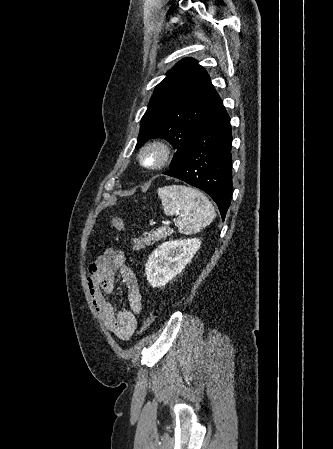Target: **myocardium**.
Masks as SVG:
<instances>
[{"label": "myocardium", "mask_w": 333, "mask_h": 449, "mask_svg": "<svg viewBox=\"0 0 333 449\" xmlns=\"http://www.w3.org/2000/svg\"><path fill=\"white\" fill-rule=\"evenodd\" d=\"M171 148L164 140H151L139 150L138 161L140 165L149 170H160L169 161Z\"/></svg>", "instance_id": "obj_1"}]
</instances>
